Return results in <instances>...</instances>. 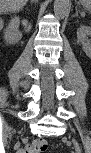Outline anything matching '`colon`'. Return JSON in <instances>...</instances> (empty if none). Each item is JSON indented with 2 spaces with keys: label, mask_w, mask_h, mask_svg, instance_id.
<instances>
[{
  "label": "colon",
  "mask_w": 91,
  "mask_h": 153,
  "mask_svg": "<svg viewBox=\"0 0 91 153\" xmlns=\"http://www.w3.org/2000/svg\"><path fill=\"white\" fill-rule=\"evenodd\" d=\"M48 149V142L45 139L32 140L23 150V153H42Z\"/></svg>",
  "instance_id": "colon-1"
}]
</instances>
